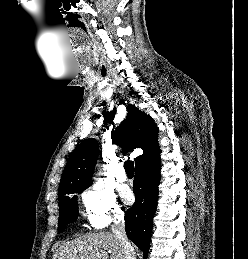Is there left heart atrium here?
Segmentation results:
<instances>
[{"label": "left heart atrium", "instance_id": "obj_1", "mask_svg": "<svg viewBox=\"0 0 248 259\" xmlns=\"http://www.w3.org/2000/svg\"><path fill=\"white\" fill-rule=\"evenodd\" d=\"M121 196L126 203H131L133 201V194L128 188L121 190Z\"/></svg>", "mask_w": 248, "mask_h": 259}]
</instances>
